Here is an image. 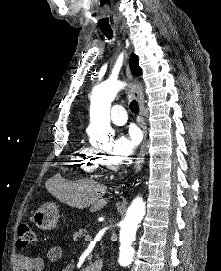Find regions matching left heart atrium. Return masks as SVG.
<instances>
[{
	"instance_id": "39dd6f15",
	"label": "left heart atrium",
	"mask_w": 221,
	"mask_h": 271,
	"mask_svg": "<svg viewBox=\"0 0 221 271\" xmlns=\"http://www.w3.org/2000/svg\"><path fill=\"white\" fill-rule=\"evenodd\" d=\"M141 137V132L136 129H130L122 133L119 138L120 142H112V157H132V153L139 145Z\"/></svg>"
}]
</instances>
